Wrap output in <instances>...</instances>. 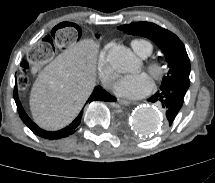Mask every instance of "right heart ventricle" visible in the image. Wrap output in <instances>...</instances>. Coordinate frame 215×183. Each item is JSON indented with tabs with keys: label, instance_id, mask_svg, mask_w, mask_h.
Returning a JSON list of instances; mask_svg holds the SVG:
<instances>
[{
	"label": "right heart ventricle",
	"instance_id": "e07e8e85",
	"mask_svg": "<svg viewBox=\"0 0 215 183\" xmlns=\"http://www.w3.org/2000/svg\"><path fill=\"white\" fill-rule=\"evenodd\" d=\"M130 45L133 51L142 58L150 56L154 49L153 44L149 40L143 38L131 40Z\"/></svg>",
	"mask_w": 215,
	"mask_h": 183
}]
</instances>
